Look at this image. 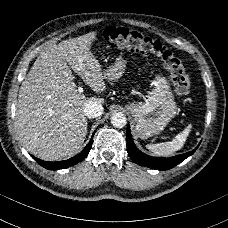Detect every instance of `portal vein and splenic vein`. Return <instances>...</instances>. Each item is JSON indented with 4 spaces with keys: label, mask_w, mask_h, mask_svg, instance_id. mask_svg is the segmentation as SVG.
I'll return each mask as SVG.
<instances>
[{
    "label": "portal vein and splenic vein",
    "mask_w": 228,
    "mask_h": 228,
    "mask_svg": "<svg viewBox=\"0 0 228 228\" xmlns=\"http://www.w3.org/2000/svg\"><path fill=\"white\" fill-rule=\"evenodd\" d=\"M76 92H77L78 94L83 93V92H84V87H83V86H78L77 89H76Z\"/></svg>",
    "instance_id": "1"
}]
</instances>
